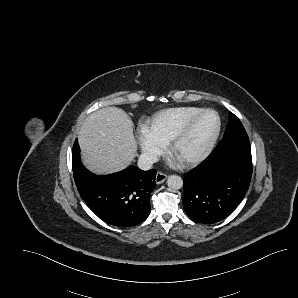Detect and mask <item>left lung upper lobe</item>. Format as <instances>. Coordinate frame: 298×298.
I'll list each match as a JSON object with an SVG mask.
<instances>
[{
    "label": "left lung upper lobe",
    "mask_w": 298,
    "mask_h": 298,
    "mask_svg": "<svg viewBox=\"0 0 298 298\" xmlns=\"http://www.w3.org/2000/svg\"><path fill=\"white\" fill-rule=\"evenodd\" d=\"M244 130L245 129L242 123L240 122V120L233 113H230L229 122L227 124L224 135H228L236 131H244Z\"/></svg>",
    "instance_id": "obj_1"
}]
</instances>
